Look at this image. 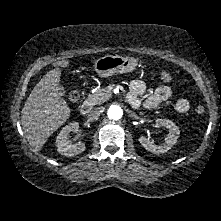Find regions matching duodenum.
I'll return each instance as SVG.
<instances>
[{
	"mask_svg": "<svg viewBox=\"0 0 221 221\" xmlns=\"http://www.w3.org/2000/svg\"><path fill=\"white\" fill-rule=\"evenodd\" d=\"M128 100H130L129 97H128ZM90 109H91V104L89 102H85L81 105L80 112L83 115H87L90 112Z\"/></svg>",
	"mask_w": 221,
	"mask_h": 221,
	"instance_id": "obj_1",
	"label": "duodenum"
}]
</instances>
